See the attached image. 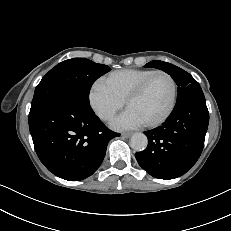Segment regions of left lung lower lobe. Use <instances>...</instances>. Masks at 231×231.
<instances>
[{
    "label": "left lung lower lobe",
    "mask_w": 231,
    "mask_h": 231,
    "mask_svg": "<svg viewBox=\"0 0 231 231\" xmlns=\"http://www.w3.org/2000/svg\"><path fill=\"white\" fill-rule=\"evenodd\" d=\"M208 123L209 112L200 85L188 88L177 99L166 122L145 132L148 146L135 154L139 165L159 179L185 174L201 155Z\"/></svg>",
    "instance_id": "0a47b994"
}]
</instances>
